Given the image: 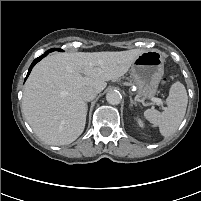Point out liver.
<instances>
[{"label": "liver", "mask_w": 201, "mask_h": 201, "mask_svg": "<svg viewBox=\"0 0 201 201\" xmlns=\"http://www.w3.org/2000/svg\"><path fill=\"white\" fill-rule=\"evenodd\" d=\"M144 51L56 53L40 61L28 77L22 113L34 133L50 145H67L84 131L87 105L80 92L103 91L106 81L126 74Z\"/></svg>", "instance_id": "liver-1"}]
</instances>
